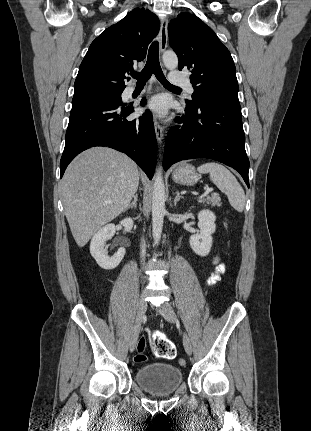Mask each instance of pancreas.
<instances>
[{
  "mask_svg": "<svg viewBox=\"0 0 311 431\" xmlns=\"http://www.w3.org/2000/svg\"><path fill=\"white\" fill-rule=\"evenodd\" d=\"M199 202H201V204H211V206H217V208L222 206L219 196H206L205 200H199Z\"/></svg>",
  "mask_w": 311,
  "mask_h": 431,
  "instance_id": "cf45deb5",
  "label": "pancreas"
}]
</instances>
